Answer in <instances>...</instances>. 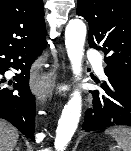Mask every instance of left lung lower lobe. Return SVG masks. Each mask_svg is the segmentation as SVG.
<instances>
[{
  "mask_svg": "<svg viewBox=\"0 0 131 151\" xmlns=\"http://www.w3.org/2000/svg\"><path fill=\"white\" fill-rule=\"evenodd\" d=\"M108 80L101 84L105 93L90 91L93 106L86 111L83 130L86 132L110 126H131V78L105 68Z\"/></svg>",
  "mask_w": 131,
  "mask_h": 151,
  "instance_id": "left-lung-lower-lobe-1",
  "label": "left lung lower lobe"
}]
</instances>
